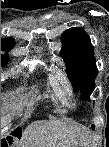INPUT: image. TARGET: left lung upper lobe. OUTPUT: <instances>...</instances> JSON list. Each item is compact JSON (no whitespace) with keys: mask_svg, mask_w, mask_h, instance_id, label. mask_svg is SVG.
Instances as JSON below:
<instances>
[{"mask_svg":"<svg viewBox=\"0 0 109 147\" xmlns=\"http://www.w3.org/2000/svg\"><path fill=\"white\" fill-rule=\"evenodd\" d=\"M61 41V56L67 67V75L74 90H80L82 98L88 100L95 88L98 71L91 40L82 28L73 27L64 31Z\"/></svg>","mask_w":109,"mask_h":147,"instance_id":"1","label":"left lung upper lobe"}]
</instances>
